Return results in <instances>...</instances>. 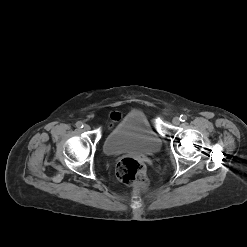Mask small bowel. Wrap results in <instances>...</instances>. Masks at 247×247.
Listing matches in <instances>:
<instances>
[{
	"mask_svg": "<svg viewBox=\"0 0 247 247\" xmlns=\"http://www.w3.org/2000/svg\"><path fill=\"white\" fill-rule=\"evenodd\" d=\"M111 118H112V120L116 121V120H118L120 118V114L119 113H113L111 115Z\"/></svg>",
	"mask_w": 247,
	"mask_h": 247,
	"instance_id": "1",
	"label": "small bowel"
}]
</instances>
